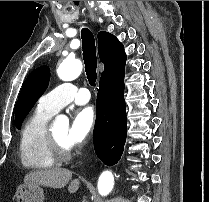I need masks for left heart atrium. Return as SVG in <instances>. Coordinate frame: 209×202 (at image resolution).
Instances as JSON below:
<instances>
[{
	"mask_svg": "<svg viewBox=\"0 0 209 202\" xmlns=\"http://www.w3.org/2000/svg\"><path fill=\"white\" fill-rule=\"evenodd\" d=\"M96 112L93 106H85L74 112L67 131L66 142L69 146H77L85 142L94 129Z\"/></svg>",
	"mask_w": 209,
	"mask_h": 202,
	"instance_id": "1",
	"label": "left heart atrium"
}]
</instances>
